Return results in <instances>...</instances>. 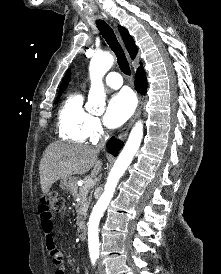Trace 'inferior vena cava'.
<instances>
[{
  "mask_svg": "<svg viewBox=\"0 0 221 274\" xmlns=\"http://www.w3.org/2000/svg\"><path fill=\"white\" fill-rule=\"evenodd\" d=\"M106 139H107V138H106ZM104 145H105V141H102L100 144H98L97 148H98V149H101V148L104 147Z\"/></svg>",
  "mask_w": 221,
  "mask_h": 274,
  "instance_id": "obj_1",
  "label": "inferior vena cava"
}]
</instances>
